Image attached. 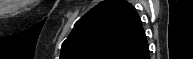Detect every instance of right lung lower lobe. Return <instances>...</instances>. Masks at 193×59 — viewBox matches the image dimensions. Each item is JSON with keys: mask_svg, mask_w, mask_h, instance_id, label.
I'll return each instance as SVG.
<instances>
[{"mask_svg": "<svg viewBox=\"0 0 193 59\" xmlns=\"http://www.w3.org/2000/svg\"><path fill=\"white\" fill-rule=\"evenodd\" d=\"M127 59H150L148 44L137 52L130 55Z\"/></svg>", "mask_w": 193, "mask_h": 59, "instance_id": "98d812e1", "label": "right lung lower lobe"}]
</instances>
